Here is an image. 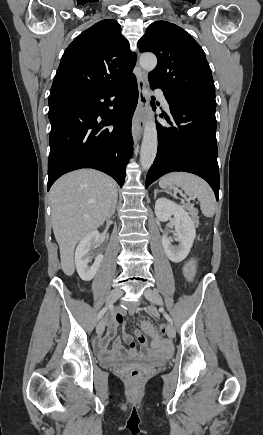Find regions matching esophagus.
Instances as JSON below:
<instances>
[{
    "label": "esophagus",
    "instance_id": "34e87169",
    "mask_svg": "<svg viewBox=\"0 0 263 435\" xmlns=\"http://www.w3.org/2000/svg\"><path fill=\"white\" fill-rule=\"evenodd\" d=\"M138 104L132 119V133L134 142L137 143L143 131L144 115L148 104V79L144 71L137 78Z\"/></svg>",
    "mask_w": 263,
    "mask_h": 435
}]
</instances>
